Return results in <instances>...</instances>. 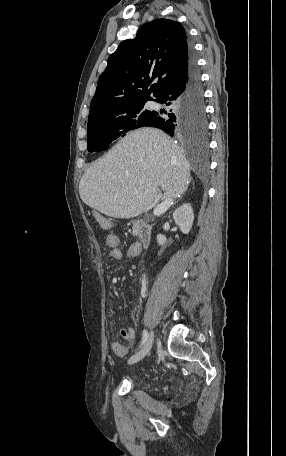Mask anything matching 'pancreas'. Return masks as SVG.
I'll list each match as a JSON object with an SVG mask.
<instances>
[{
	"label": "pancreas",
	"instance_id": "1",
	"mask_svg": "<svg viewBox=\"0 0 286 456\" xmlns=\"http://www.w3.org/2000/svg\"><path fill=\"white\" fill-rule=\"evenodd\" d=\"M132 235H133V236L139 235V228H138V226H136V225L133 226Z\"/></svg>",
	"mask_w": 286,
	"mask_h": 456
}]
</instances>
